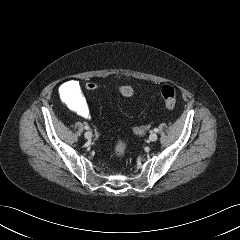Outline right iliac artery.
Here are the masks:
<instances>
[{
    "label": "right iliac artery",
    "mask_w": 240,
    "mask_h": 240,
    "mask_svg": "<svg viewBox=\"0 0 240 240\" xmlns=\"http://www.w3.org/2000/svg\"><path fill=\"white\" fill-rule=\"evenodd\" d=\"M86 130H88L89 129V126L88 125H85V127H84Z\"/></svg>",
    "instance_id": "right-iliac-artery-1"
}]
</instances>
